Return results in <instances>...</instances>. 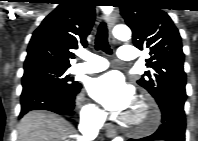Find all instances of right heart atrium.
Returning a JSON list of instances; mask_svg holds the SVG:
<instances>
[{
    "instance_id": "obj_1",
    "label": "right heart atrium",
    "mask_w": 198,
    "mask_h": 141,
    "mask_svg": "<svg viewBox=\"0 0 198 141\" xmlns=\"http://www.w3.org/2000/svg\"><path fill=\"white\" fill-rule=\"evenodd\" d=\"M82 116L88 121H98L101 118V113L92 104H87L82 109Z\"/></svg>"
}]
</instances>
